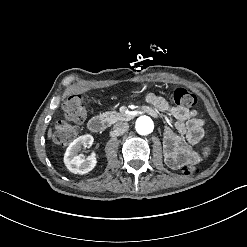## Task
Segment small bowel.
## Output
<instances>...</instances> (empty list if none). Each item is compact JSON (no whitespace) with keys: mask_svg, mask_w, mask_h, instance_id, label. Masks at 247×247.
Returning <instances> with one entry per match:
<instances>
[{"mask_svg":"<svg viewBox=\"0 0 247 247\" xmlns=\"http://www.w3.org/2000/svg\"><path fill=\"white\" fill-rule=\"evenodd\" d=\"M150 107L146 111L150 116L156 117L158 110L167 111L172 124L163 128L164 157L168 166L172 169L179 168L176 155L187 150L191 156L190 163H198L203 159V154L193 152L190 145L199 143L204 135V120L195 110L184 106L170 107L167 101L160 95L150 93L146 97Z\"/></svg>","mask_w":247,"mask_h":247,"instance_id":"small-bowel-1","label":"small bowel"}]
</instances>
